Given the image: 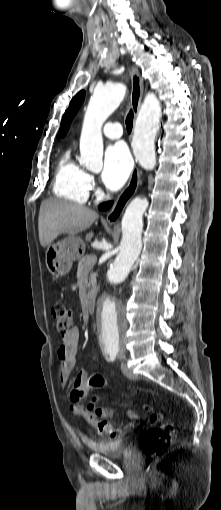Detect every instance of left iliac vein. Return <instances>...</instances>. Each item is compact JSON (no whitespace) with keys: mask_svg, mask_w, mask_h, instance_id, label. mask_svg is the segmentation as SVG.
<instances>
[{"mask_svg":"<svg viewBox=\"0 0 221 510\" xmlns=\"http://www.w3.org/2000/svg\"><path fill=\"white\" fill-rule=\"evenodd\" d=\"M121 369L125 376H127L130 379L136 380L138 376L128 367L126 362L121 363Z\"/></svg>","mask_w":221,"mask_h":510,"instance_id":"1","label":"left iliac vein"}]
</instances>
